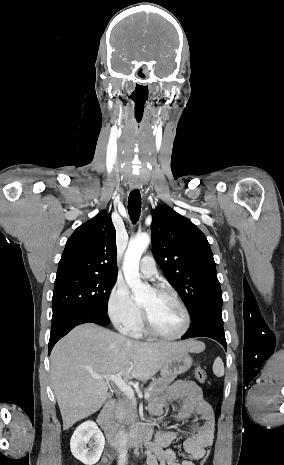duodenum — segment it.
I'll use <instances>...</instances> for the list:
<instances>
[{
    "mask_svg": "<svg viewBox=\"0 0 284 465\" xmlns=\"http://www.w3.org/2000/svg\"><path fill=\"white\" fill-rule=\"evenodd\" d=\"M115 405V400H109L106 403V405L100 410L97 416V424L106 435L109 443L114 448H121L126 441L129 444H133L136 441H144L147 443V441L150 439V433L146 428H136L129 434L128 438L124 437L123 435L117 432V430L113 427V425L110 422V416Z\"/></svg>",
    "mask_w": 284,
    "mask_h": 465,
    "instance_id": "obj_1",
    "label": "duodenum"
}]
</instances>
